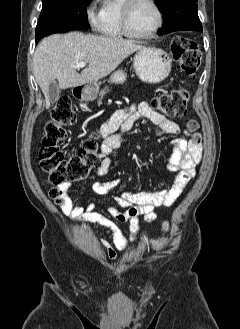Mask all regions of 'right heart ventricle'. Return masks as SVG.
<instances>
[{
    "label": "right heart ventricle",
    "instance_id": "e07e8e85",
    "mask_svg": "<svg viewBox=\"0 0 240 329\" xmlns=\"http://www.w3.org/2000/svg\"><path fill=\"white\" fill-rule=\"evenodd\" d=\"M124 0H103L97 29L99 33L111 39L127 37L121 27V11Z\"/></svg>",
    "mask_w": 240,
    "mask_h": 329
}]
</instances>
